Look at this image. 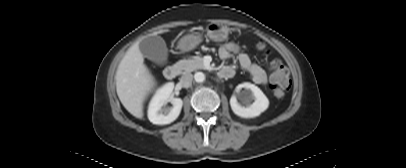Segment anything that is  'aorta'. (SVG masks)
<instances>
[{
  "mask_svg": "<svg viewBox=\"0 0 406 168\" xmlns=\"http://www.w3.org/2000/svg\"><path fill=\"white\" fill-rule=\"evenodd\" d=\"M194 79L196 82L201 83L205 80V75L202 72H196L194 75Z\"/></svg>",
  "mask_w": 406,
  "mask_h": 168,
  "instance_id": "obj_1",
  "label": "aorta"
}]
</instances>
